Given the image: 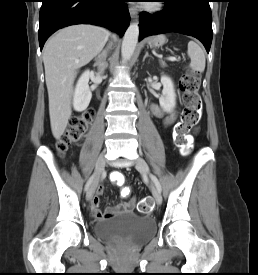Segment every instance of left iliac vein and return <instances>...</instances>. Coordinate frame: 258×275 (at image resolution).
<instances>
[{
    "instance_id": "left-iliac-vein-1",
    "label": "left iliac vein",
    "mask_w": 258,
    "mask_h": 275,
    "mask_svg": "<svg viewBox=\"0 0 258 275\" xmlns=\"http://www.w3.org/2000/svg\"><path fill=\"white\" fill-rule=\"evenodd\" d=\"M135 167L141 173L149 174V166L143 158H139L136 161ZM152 192H153V196H154L157 204H161L162 203V195H161L160 191L158 190V188L156 187V185H153Z\"/></svg>"
}]
</instances>
